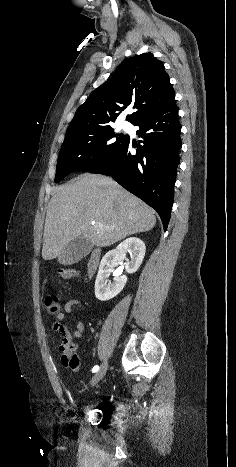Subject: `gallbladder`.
<instances>
[{"instance_id": "bac80fb5", "label": "gallbladder", "mask_w": 236, "mask_h": 467, "mask_svg": "<svg viewBox=\"0 0 236 467\" xmlns=\"http://www.w3.org/2000/svg\"><path fill=\"white\" fill-rule=\"evenodd\" d=\"M92 249V244L84 238H76L69 242L58 256V262L62 265H73L87 256Z\"/></svg>"}]
</instances>
